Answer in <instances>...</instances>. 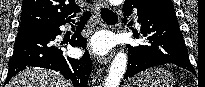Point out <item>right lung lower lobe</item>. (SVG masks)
Returning <instances> with one entry per match:
<instances>
[{
  "instance_id": "right-lung-lower-lobe-1",
  "label": "right lung lower lobe",
  "mask_w": 205,
  "mask_h": 87,
  "mask_svg": "<svg viewBox=\"0 0 205 87\" xmlns=\"http://www.w3.org/2000/svg\"><path fill=\"white\" fill-rule=\"evenodd\" d=\"M90 16L91 13L86 12L82 17L77 32L70 40L71 46L86 47L87 41L80 35V32ZM70 21L19 32L13 56L8 63L9 70L5 84L27 67H42L59 72L64 78L70 80L74 87H87L92 69L89 54L86 52L81 59H72L66 56L55 43L56 36L61 34L59 26Z\"/></svg>"
}]
</instances>
